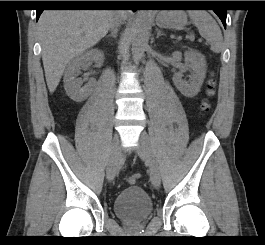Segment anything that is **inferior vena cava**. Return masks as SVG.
Segmentation results:
<instances>
[{
	"instance_id": "inferior-vena-cava-1",
	"label": "inferior vena cava",
	"mask_w": 265,
	"mask_h": 245,
	"mask_svg": "<svg viewBox=\"0 0 265 245\" xmlns=\"http://www.w3.org/2000/svg\"><path fill=\"white\" fill-rule=\"evenodd\" d=\"M120 23H121V20L119 18H115L111 26V29L117 32V28L119 27Z\"/></svg>"
}]
</instances>
